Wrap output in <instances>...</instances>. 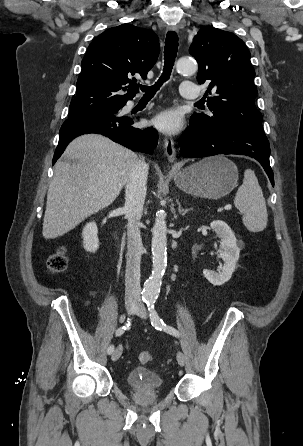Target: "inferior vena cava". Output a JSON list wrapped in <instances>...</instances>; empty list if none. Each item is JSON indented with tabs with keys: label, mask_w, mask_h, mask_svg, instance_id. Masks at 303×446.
Here are the masks:
<instances>
[{
	"label": "inferior vena cava",
	"mask_w": 303,
	"mask_h": 446,
	"mask_svg": "<svg viewBox=\"0 0 303 446\" xmlns=\"http://www.w3.org/2000/svg\"><path fill=\"white\" fill-rule=\"evenodd\" d=\"M148 165L139 160L129 175L125 189L127 223V261L125 273L126 302L140 301V264L143 244L140 235V219L146 197Z\"/></svg>",
	"instance_id": "inferior-vena-cava-1"
}]
</instances>
